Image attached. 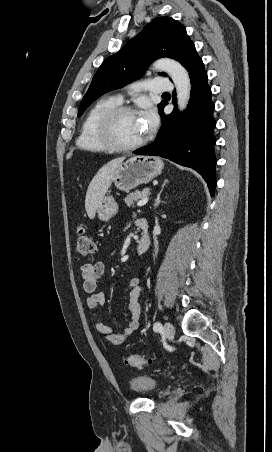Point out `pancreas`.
<instances>
[{
	"label": "pancreas",
	"instance_id": "pancreas-1",
	"mask_svg": "<svg viewBox=\"0 0 272 452\" xmlns=\"http://www.w3.org/2000/svg\"><path fill=\"white\" fill-rule=\"evenodd\" d=\"M148 193H149V189L148 188L144 189L143 191L137 190L135 192H132V193L128 194L124 198V202L126 203V205L128 207H133L137 201H139L140 199H142L145 196H147Z\"/></svg>",
	"mask_w": 272,
	"mask_h": 452
}]
</instances>
